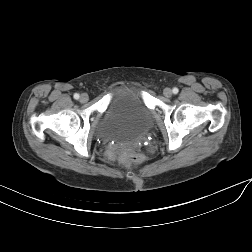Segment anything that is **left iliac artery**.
I'll list each match as a JSON object with an SVG mask.
<instances>
[{"label":"left iliac artery","mask_w":252,"mask_h":252,"mask_svg":"<svg viewBox=\"0 0 252 252\" xmlns=\"http://www.w3.org/2000/svg\"><path fill=\"white\" fill-rule=\"evenodd\" d=\"M172 92L174 93V94H177L178 92H179V90H178V88H173V90H172Z\"/></svg>","instance_id":"44dca946"}]
</instances>
